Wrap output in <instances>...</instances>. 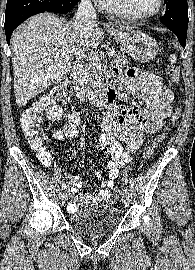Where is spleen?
Instances as JSON below:
<instances>
[{
	"label": "spleen",
	"mask_w": 195,
	"mask_h": 270,
	"mask_svg": "<svg viewBox=\"0 0 195 270\" xmlns=\"http://www.w3.org/2000/svg\"><path fill=\"white\" fill-rule=\"evenodd\" d=\"M169 61L171 62V64L176 63V56L174 54H171L169 57Z\"/></svg>",
	"instance_id": "3e777b00"
}]
</instances>
